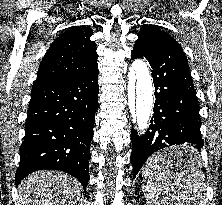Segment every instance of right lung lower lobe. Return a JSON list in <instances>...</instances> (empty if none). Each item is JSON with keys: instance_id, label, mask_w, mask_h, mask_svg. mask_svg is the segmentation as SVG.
Masks as SVG:
<instances>
[{"instance_id": "1", "label": "right lung lower lobe", "mask_w": 222, "mask_h": 205, "mask_svg": "<svg viewBox=\"0 0 222 205\" xmlns=\"http://www.w3.org/2000/svg\"><path fill=\"white\" fill-rule=\"evenodd\" d=\"M98 91V66L82 75L33 85L16 186L34 171L52 169L71 174L86 191Z\"/></svg>"}]
</instances>
